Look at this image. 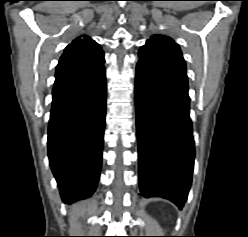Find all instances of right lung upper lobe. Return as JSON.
Listing matches in <instances>:
<instances>
[{
	"mask_svg": "<svg viewBox=\"0 0 248 237\" xmlns=\"http://www.w3.org/2000/svg\"><path fill=\"white\" fill-rule=\"evenodd\" d=\"M104 63V53L99 44L88 36L76 38L61 56L56 77L69 76L88 71Z\"/></svg>",
	"mask_w": 248,
	"mask_h": 237,
	"instance_id": "obj_1",
	"label": "right lung upper lobe"
}]
</instances>
